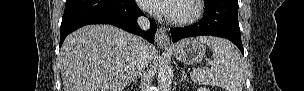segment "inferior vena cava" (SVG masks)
<instances>
[{
  "label": "inferior vena cava",
  "mask_w": 304,
  "mask_h": 91,
  "mask_svg": "<svg viewBox=\"0 0 304 91\" xmlns=\"http://www.w3.org/2000/svg\"><path fill=\"white\" fill-rule=\"evenodd\" d=\"M138 25L143 29L147 30L150 27V22L146 17H139L138 20ZM136 40L139 44V59H138V64H137V70L138 72L142 71L143 68H145L149 62L148 57H147V50H148V44L144 42V40L140 37H136Z\"/></svg>",
  "instance_id": "602c4592"
}]
</instances>
